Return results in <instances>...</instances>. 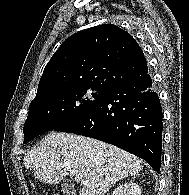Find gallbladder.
I'll list each match as a JSON object with an SVG mask.
<instances>
[{
  "mask_svg": "<svg viewBox=\"0 0 189 195\" xmlns=\"http://www.w3.org/2000/svg\"><path fill=\"white\" fill-rule=\"evenodd\" d=\"M62 192L65 195H74V189L68 183L62 184Z\"/></svg>",
  "mask_w": 189,
  "mask_h": 195,
  "instance_id": "obj_1",
  "label": "gallbladder"
}]
</instances>
